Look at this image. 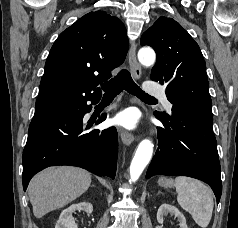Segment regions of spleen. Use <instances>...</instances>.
Returning <instances> with one entry per match:
<instances>
[{
    "instance_id": "obj_1",
    "label": "spleen",
    "mask_w": 238,
    "mask_h": 228,
    "mask_svg": "<svg viewBox=\"0 0 238 228\" xmlns=\"http://www.w3.org/2000/svg\"><path fill=\"white\" fill-rule=\"evenodd\" d=\"M175 183L179 205L191 214L200 227L206 228L214 207L211 190L201 181L186 176L176 177Z\"/></svg>"
}]
</instances>
